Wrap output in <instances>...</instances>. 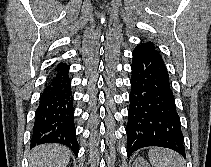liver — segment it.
<instances>
[{"mask_svg": "<svg viewBox=\"0 0 211 167\" xmlns=\"http://www.w3.org/2000/svg\"><path fill=\"white\" fill-rule=\"evenodd\" d=\"M71 151L59 144H44L35 147L30 156V167H66Z\"/></svg>", "mask_w": 211, "mask_h": 167, "instance_id": "obj_1", "label": "liver"}]
</instances>
